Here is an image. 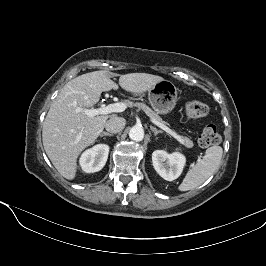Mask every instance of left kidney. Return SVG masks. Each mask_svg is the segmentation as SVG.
<instances>
[{
	"label": "left kidney",
	"mask_w": 266,
	"mask_h": 266,
	"mask_svg": "<svg viewBox=\"0 0 266 266\" xmlns=\"http://www.w3.org/2000/svg\"><path fill=\"white\" fill-rule=\"evenodd\" d=\"M152 163L163 179L173 181L181 175L186 158L179 152L168 154L166 151L156 150L152 154Z\"/></svg>",
	"instance_id": "1"
}]
</instances>
